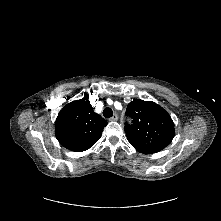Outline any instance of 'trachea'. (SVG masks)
<instances>
[{"mask_svg": "<svg viewBox=\"0 0 221 221\" xmlns=\"http://www.w3.org/2000/svg\"><path fill=\"white\" fill-rule=\"evenodd\" d=\"M103 116H104L105 118H110V117H112V116H113V111H112V109L109 108V107H106V108L103 110Z\"/></svg>", "mask_w": 221, "mask_h": 221, "instance_id": "1", "label": "trachea"}]
</instances>
